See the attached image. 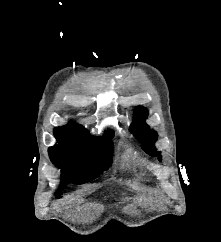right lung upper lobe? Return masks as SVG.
Here are the masks:
<instances>
[{
  "mask_svg": "<svg viewBox=\"0 0 221 242\" xmlns=\"http://www.w3.org/2000/svg\"><path fill=\"white\" fill-rule=\"evenodd\" d=\"M54 131L56 133L75 134V135H79V136L87 138V139H106V138L113 136V134L111 132H107L104 137L95 138V137L89 135L87 130L84 127H82L79 124H75V123H70V124H67L63 127H56L54 129Z\"/></svg>",
  "mask_w": 221,
  "mask_h": 242,
  "instance_id": "right-lung-upper-lobe-1",
  "label": "right lung upper lobe"
}]
</instances>
